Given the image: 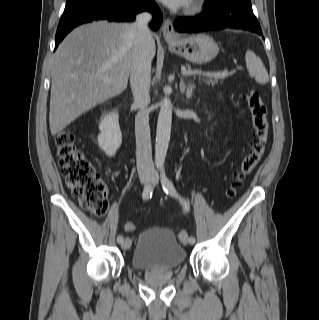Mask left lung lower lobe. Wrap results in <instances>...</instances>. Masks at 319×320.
Segmentation results:
<instances>
[{"instance_id":"0a47b994","label":"left lung lower lobe","mask_w":319,"mask_h":320,"mask_svg":"<svg viewBox=\"0 0 319 320\" xmlns=\"http://www.w3.org/2000/svg\"><path fill=\"white\" fill-rule=\"evenodd\" d=\"M205 8V11L200 15L175 20L176 30L179 32H201L234 28L262 35L250 0H206Z\"/></svg>"}]
</instances>
